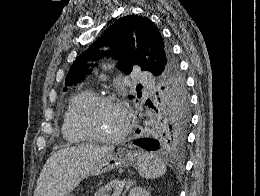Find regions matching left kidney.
<instances>
[{
  "instance_id": "5707ae66",
  "label": "left kidney",
  "mask_w": 260,
  "mask_h": 196,
  "mask_svg": "<svg viewBox=\"0 0 260 196\" xmlns=\"http://www.w3.org/2000/svg\"><path fill=\"white\" fill-rule=\"evenodd\" d=\"M129 196H149V192H146L145 188H141V186H135Z\"/></svg>"
}]
</instances>
